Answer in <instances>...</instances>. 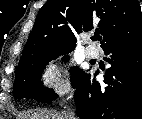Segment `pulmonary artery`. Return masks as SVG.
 <instances>
[{"label": "pulmonary artery", "mask_w": 142, "mask_h": 119, "mask_svg": "<svg viewBox=\"0 0 142 119\" xmlns=\"http://www.w3.org/2000/svg\"><path fill=\"white\" fill-rule=\"evenodd\" d=\"M85 54L88 58H97L99 56V51L95 46H87L85 48Z\"/></svg>", "instance_id": "obj_1"}]
</instances>
